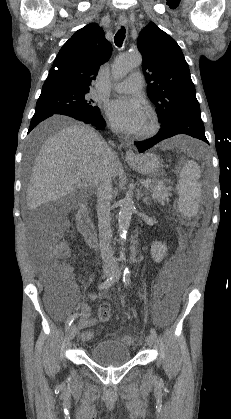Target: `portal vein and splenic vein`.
<instances>
[{
	"label": "portal vein and splenic vein",
	"instance_id": "obj_1",
	"mask_svg": "<svg viewBox=\"0 0 231 419\" xmlns=\"http://www.w3.org/2000/svg\"><path fill=\"white\" fill-rule=\"evenodd\" d=\"M80 177H83L81 174H78ZM146 187L148 188V189H150V190H154V189H156V188H164L163 187V185L162 184H160L159 186H157V187H153V186H149V185H146Z\"/></svg>",
	"mask_w": 231,
	"mask_h": 419
}]
</instances>
